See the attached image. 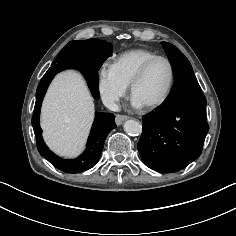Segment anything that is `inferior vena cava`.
<instances>
[{"label":"inferior vena cava","mask_w":236,"mask_h":236,"mask_svg":"<svg viewBox=\"0 0 236 236\" xmlns=\"http://www.w3.org/2000/svg\"><path fill=\"white\" fill-rule=\"evenodd\" d=\"M103 103L111 111L114 112L120 111V105L118 104V99L115 97H104Z\"/></svg>","instance_id":"602c4592"}]
</instances>
